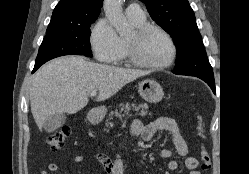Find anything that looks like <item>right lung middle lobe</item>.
Here are the masks:
<instances>
[{
  "instance_id": "right-lung-middle-lobe-1",
  "label": "right lung middle lobe",
  "mask_w": 249,
  "mask_h": 174,
  "mask_svg": "<svg viewBox=\"0 0 249 174\" xmlns=\"http://www.w3.org/2000/svg\"><path fill=\"white\" fill-rule=\"evenodd\" d=\"M95 20L82 25L46 31L36 58L35 65L64 55H84L92 57L90 46V26Z\"/></svg>"
}]
</instances>
